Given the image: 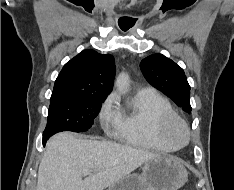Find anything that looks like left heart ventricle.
<instances>
[{
    "instance_id": "1",
    "label": "left heart ventricle",
    "mask_w": 234,
    "mask_h": 190,
    "mask_svg": "<svg viewBox=\"0 0 234 190\" xmlns=\"http://www.w3.org/2000/svg\"><path fill=\"white\" fill-rule=\"evenodd\" d=\"M175 135H176V136H179V135H180V133H179V132H176V133H175Z\"/></svg>"
}]
</instances>
